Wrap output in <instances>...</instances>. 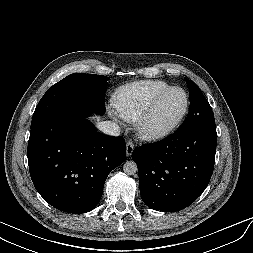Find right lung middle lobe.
<instances>
[{"label":"right lung middle lobe","mask_w":253,"mask_h":253,"mask_svg":"<svg viewBox=\"0 0 253 253\" xmlns=\"http://www.w3.org/2000/svg\"><path fill=\"white\" fill-rule=\"evenodd\" d=\"M108 77L95 74L74 73L54 84L41 98L31 122V127L51 118L73 113L89 116L104 114V91Z\"/></svg>","instance_id":"obj_1"}]
</instances>
